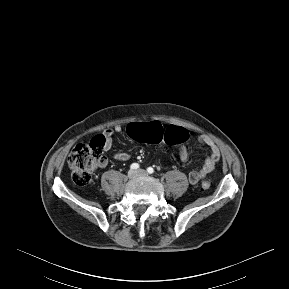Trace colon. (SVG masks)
<instances>
[{"mask_svg": "<svg viewBox=\"0 0 289 289\" xmlns=\"http://www.w3.org/2000/svg\"><path fill=\"white\" fill-rule=\"evenodd\" d=\"M128 135L139 142L157 143L165 141L176 144L186 141L188 132L183 128L169 127L163 121L132 122L128 126ZM105 139L96 136L89 143L77 144L68 156V165L75 184L84 186L91 181L93 171L103 161ZM203 190L211 187L209 180L201 183Z\"/></svg>", "mask_w": 289, "mask_h": 289, "instance_id": "1", "label": "colon"}]
</instances>
